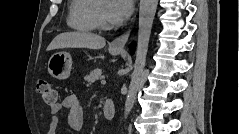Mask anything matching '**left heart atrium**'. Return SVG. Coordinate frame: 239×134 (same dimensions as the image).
I'll return each instance as SVG.
<instances>
[{"label":"left heart atrium","instance_id":"1","mask_svg":"<svg viewBox=\"0 0 239 134\" xmlns=\"http://www.w3.org/2000/svg\"><path fill=\"white\" fill-rule=\"evenodd\" d=\"M133 1L132 0H112L109 1L107 7L108 16L112 24H121L132 13Z\"/></svg>","mask_w":239,"mask_h":134}]
</instances>
